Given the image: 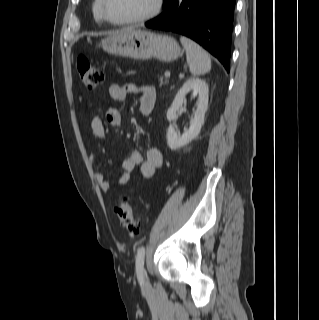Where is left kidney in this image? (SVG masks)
Listing matches in <instances>:
<instances>
[{"label": "left kidney", "mask_w": 319, "mask_h": 320, "mask_svg": "<svg viewBox=\"0 0 319 320\" xmlns=\"http://www.w3.org/2000/svg\"><path fill=\"white\" fill-rule=\"evenodd\" d=\"M192 91L193 97L198 96V105L194 112V118L190 122L189 129L182 135L171 124L177 118V110L183 105L186 95ZM208 84L199 78H191L185 81L177 92L172 105L167 111V119L170 125L167 130V144L170 149L176 150L190 143L196 138L204 124V116L208 108Z\"/></svg>", "instance_id": "1"}]
</instances>
